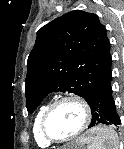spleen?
Wrapping results in <instances>:
<instances>
[{"mask_svg": "<svg viewBox=\"0 0 124 149\" xmlns=\"http://www.w3.org/2000/svg\"><path fill=\"white\" fill-rule=\"evenodd\" d=\"M96 128V133L87 139L88 149H118L119 140L112 129L101 126Z\"/></svg>", "mask_w": 124, "mask_h": 149, "instance_id": "1", "label": "spleen"}]
</instances>
